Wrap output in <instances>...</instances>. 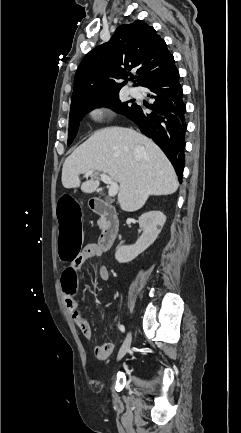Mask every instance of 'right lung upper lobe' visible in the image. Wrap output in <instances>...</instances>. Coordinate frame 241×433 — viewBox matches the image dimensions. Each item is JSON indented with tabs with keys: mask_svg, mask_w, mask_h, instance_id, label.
Instances as JSON below:
<instances>
[{
	"mask_svg": "<svg viewBox=\"0 0 241 433\" xmlns=\"http://www.w3.org/2000/svg\"><path fill=\"white\" fill-rule=\"evenodd\" d=\"M174 62L164 40L152 26L136 20L119 26L111 39L91 50L81 61L74 79L71 105L119 93L131 69H136L138 83L164 72Z\"/></svg>",
	"mask_w": 241,
	"mask_h": 433,
	"instance_id": "1",
	"label": "right lung upper lobe"
}]
</instances>
